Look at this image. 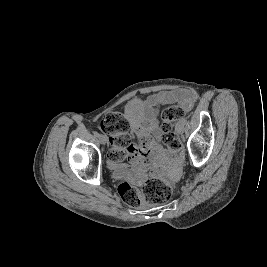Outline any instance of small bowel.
<instances>
[{"label":"small bowel","instance_id":"1","mask_svg":"<svg viewBox=\"0 0 267 267\" xmlns=\"http://www.w3.org/2000/svg\"><path fill=\"white\" fill-rule=\"evenodd\" d=\"M196 100V94L190 90L161 91L147 97L144 102L135 103L131 111L139 112L142 118H130L133 137L131 153L126 163L114 166V177L122 182L141 184L148 175L156 178L177 177L180 170V158L173 157L160 142L157 131L158 107L176 103L188 110ZM170 168L168 171L167 168Z\"/></svg>","mask_w":267,"mask_h":267}]
</instances>
